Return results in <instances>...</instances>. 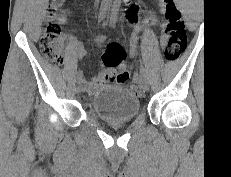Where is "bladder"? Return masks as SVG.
<instances>
[{
    "label": "bladder",
    "mask_w": 231,
    "mask_h": 177,
    "mask_svg": "<svg viewBox=\"0 0 231 177\" xmlns=\"http://www.w3.org/2000/svg\"><path fill=\"white\" fill-rule=\"evenodd\" d=\"M92 110L99 118L115 122L137 116L140 109L138 97L118 86H104L92 98Z\"/></svg>",
    "instance_id": "31cf9c89"
}]
</instances>
